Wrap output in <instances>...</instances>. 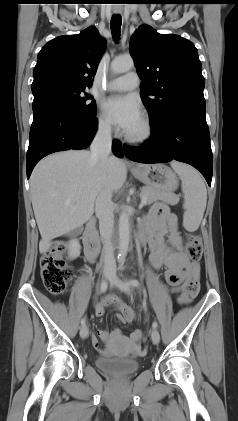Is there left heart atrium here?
<instances>
[{
    "label": "left heart atrium",
    "mask_w": 238,
    "mask_h": 421,
    "mask_svg": "<svg viewBox=\"0 0 238 421\" xmlns=\"http://www.w3.org/2000/svg\"><path fill=\"white\" fill-rule=\"evenodd\" d=\"M103 108L111 120L125 132L141 120L140 106L133 96H112L104 102Z\"/></svg>",
    "instance_id": "left-heart-atrium-1"
}]
</instances>
